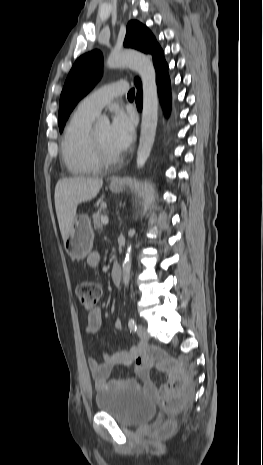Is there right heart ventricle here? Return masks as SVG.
<instances>
[{
    "instance_id": "1",
    "label": "right heart ventricle",
    "mask_w": 263,
    "mask_h": 465,
    "mask_svg": "<svg viewBox=\"0 0 263 465\" xmlns=\"http://www.w3.org/2000/svg\"><path fill=\"white\" fill-rule=\"evenodd\" d=\"M93 119L94 116L77 109L66 125L61 155L67 170L74 175L94 174L102 168L96 161L89 142Z\"/></svg>"
}]
</instances>
